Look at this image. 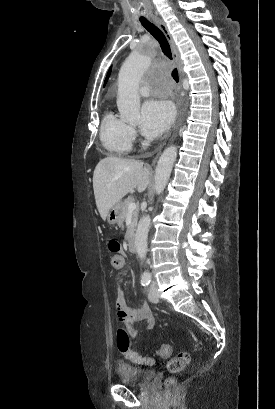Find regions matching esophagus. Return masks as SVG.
Instances as JSON below:
<instances>
[{
    "label": "esophagus",
    "mask_w": 275,
    "mask_h": 409,
    "mask_svg": "<svg viewBox=\"0 0 275 409\" xmlns=\"http://www.w3.org/2000/svg\"><path fill=\"white\" fill-rule=\"evenodd\" d=\"M152 20L155 23V25H157V27H159L160 30L164 33L165 37L167 38V40L169 42L173 58L176 61V64H177V67H178L179 84L182 85V81H183V78H184V73H183L182 61H181V58H180L179 50H178L177 46L175 45V42H174L173 37H172V35L170 34V32H169V30L167 28V25L158 17H154ZM164 145L165 144H162V146H160V150ZM155 161H156V159H154V162Z\"/></svg>",
    "instance_id": "34e87169"
}]
</instances>
